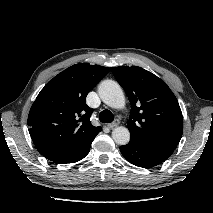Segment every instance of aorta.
Returning a JSON list of instances; mask_svg holds the SVG:
<instances>
[{
  "mask_svg": "<svg viewBox=\"0 0 213 213\" xmlns=\"http://www.w3.org/2000/svg\"><path fill=\"white\" fill-rule=\"evenodd\" d=\"M102 101L111 108L121 109L125 106V96L120 85L112 80L103 81L98 89ZM113 140L119 145L130 141V132L126 127H116L112 131Z\"/></svg>",
  "mask_w": 213,
  "mask_h": 213,
  "instance_id": "obj_1",
  "label": "aorta"
}]
</instances>
